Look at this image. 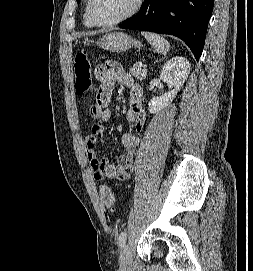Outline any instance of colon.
I'll use <instances>...</instances> for the list:
<instances>
[{
  "instance_id": "colon-1",
  "label": "colon",
  "mask_w": 253,
  "mask_h": 271,
  "mask_svg": "<svg viewBox=\"0 0 253 271\" xmlns=\"http://www.w3.org/2000/svg\"><path fill=\"white\" fill-rule=\"evenodd\" d=\"M73 70L75 74V91L80 95L93 92L90 57L86 51L83 50L76 55L73 61ZM99 197L106 208H114L115 196L109 186L101 185L99 187Z\"/></svg>"
}]
</instances>
